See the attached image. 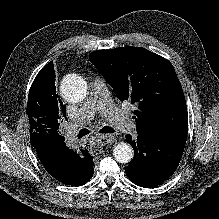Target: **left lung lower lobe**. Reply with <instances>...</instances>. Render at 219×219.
<instances>
[{
    "mask_svg": "<svg viewBox=\"0 0 219 219\" xmlns=\"http://www.w3.org/2000/svg\"><path fill=\"white\" fill-rule=\"evenodd\" d=\"M126 141L134 149V158L126 167L129 179L140 187L151 188L167 180L179 165L185 144L169 143L154 136L138 135Z\"/></svg>",
    "mask_w": 219,
    "mask_h": 219,
    "instance_id": "0a47b994",
    "label": "left lung lower lobe"
}]
</instances>
